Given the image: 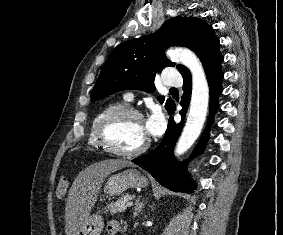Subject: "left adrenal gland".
<instances>
[{
  "mask_svg": "<svg viewBox=\"0 0 283 235\" xmlns=\"http://www.w3.org/2000/svg\"><path fill=\"white\" fill-rule=\"evenodd\" d=\"M140 198H141V196H139V197L136 199V202H135L134 213H133L134 218H135L136 216H138V214L141 212V210H142L143 207H144V204H143V202L140 201Z\"/></svg>",
  "mask_w": 283,
  "mask_h": 235,
  "instance_id": "left-adrenal-gland-1",
  "label": "left adrenal gland"
}]
</instances>
